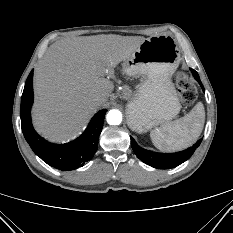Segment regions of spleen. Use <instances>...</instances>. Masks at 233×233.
I'll list each match as a JSON object with an SVG mask.
<instances>
[{
	"instance_id": "obj_1",
	"label": "spleen",
	"mask_w": 233,
	"mask_h": 233,
	"mask_svg": "<svg viewBox=\"0 0 233 233\" xmlns=\"http://www.w3.org/2000/svg\"><path fill=\"white\" fill-rule=\"evenodd\" d=\"M205 122L201 102L184 117L156 127L150 132L152 143L162 151H180L193 145L200 136Z\"/></svg>"
}]
</instances>
